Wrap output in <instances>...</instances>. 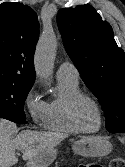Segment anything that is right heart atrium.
I'll use <instances>...</instances> for the list:
<instances>
[{
	"label": "right heart atrium",
	"instance_id": "d8ad5b80",
	"mask_svg": "<svg viewBox=\"0 0 125 167\" xmlns=\"http://www.w3.org/2000/svg\"><path fill=\"white\" fill-rule=\"evenodd\" d=\"M46 102L35 87H31L23 100V107L34 124H42L46 113Z\"/></svg>",
	"mask_w": 125,
	"mask_h": 167
}]
</instances>
